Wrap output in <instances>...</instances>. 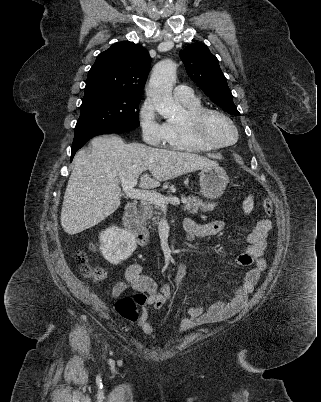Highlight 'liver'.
Masks as SVG:
<instances>
[{
    "mask_svg": "<svg viewBox=\"0 0 321 402\" xmlns=\"http://www.w3.org/2000/svg\"><path fill=\"white\" fill-rule=\"evenodd\" d=\"M92 150L82 149L74 159L61 210V225L74 235L91 228L114 213L121 203L119 183L140 177V187L155 188L216 161L194 153L126 144L117 135H104L91 141ZM149 170L152 178L143 174Z\"/></svg>",
    "mask_w": 321,
    "mask_h": 402,
    "instance_id": "obj_1",
    "label": "liver"
}]
</instances>
